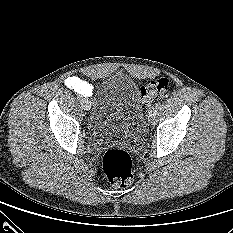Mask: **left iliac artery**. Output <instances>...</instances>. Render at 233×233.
I'll return each mask as SVG.
<instances>
[{"label":"left iliac artery","instance_id":"left-iliac-artery-1","mask_svg":"<svg viewBox=\"0 0 233 233\" xmlns=\"http://www.w3.org/2000/svg\"><path fill=\"white\" fill-rule=\"evenodd\" d=\"M155 106H156L157 108H160V107L162 106V103H161V102H157V103L155 104Z\"/></svg>","mask_w":233,"mask_h":233}]
</instances>
